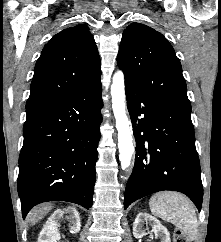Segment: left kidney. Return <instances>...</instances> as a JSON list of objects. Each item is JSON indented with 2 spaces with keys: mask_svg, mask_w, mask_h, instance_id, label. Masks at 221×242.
Returning <instances> with one entry per match:
<instances>
[{
  "mask_svg": "<svg viewBox=\"0 0 221 242\" xmlns=\"http://www.w3.org/2000/svg\"><path fill=\"white\" fill-rule=\"evenodd\" d=\"M144 224H150L152 226L151 232L156 237H159L161 242H171L167 228L157 218L145 212L139 213L133 223V235L135 238L140 239L146 235L145 230H143Z\"/></svg>",
  "mask_w": 221,
  "mask_h": 242,
  "instance_id": "left-kidney-1",
  "label": "left kidney"
}]
</instances>
